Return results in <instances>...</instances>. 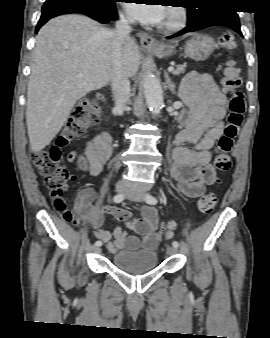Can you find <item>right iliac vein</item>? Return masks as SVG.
Masks as SVG:
<instances>
[{"label":"right iliac vein","mask_w":270,"mask_h":338,"mask_svg":"<svg viewBox=\"0 0 270 338\" xmlns=\"http://www.w3.org/2000/svg\"><path fill=\"white\" fill-rule=\"evenodd\" d=\"M115 190L118 194H123L127 191V186L120 183L116 185ZM93 251L99 253L101 251V248L99 246H94Z\"/></svg>","instance_id":"right-iliac-vein-1"}]
</instances>
